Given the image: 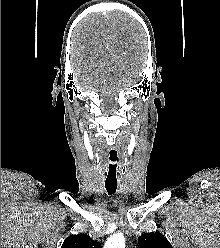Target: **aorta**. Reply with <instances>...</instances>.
Returning <instances> with one entry per match:
<instances>
[{
    "instance_id": "obj_1",
    "label": "aorta",
    "mask_w": 220,
    "mask_h": 248,
    "mask_svg": "<svg viewBox=\"0 0 220 248\" xmlns=\"http://www.w3.org/2000/svg\"><path fill=\"white\" fill-rule=\"evenodd\" d=\"M104 248H125V238L121 233L112 235L106 241Z\"/></svg>"
}]
</instances>
